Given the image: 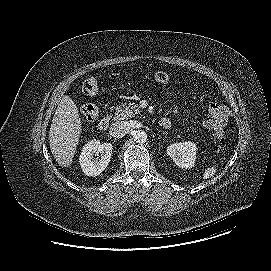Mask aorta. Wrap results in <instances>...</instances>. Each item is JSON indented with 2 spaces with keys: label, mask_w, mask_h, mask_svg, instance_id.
Here are the masks:
<instances>
[{
  "label": "aorta",
  "mask_w": 271,
  "mask_h": 271,
  "mask_svg": "<svg viewBox=\"0 0 271 271\" xmlns=\"http://www.w3.org/2000/svg\"><path fill=\"white\" fill-rule=\"evenodd\" d=\"M147 137V134L142 130L134 131L133 133L134 141L141 145L147 142Z\"/></svg>",
  "instance_id": "obj_1"
}]
</instances>
